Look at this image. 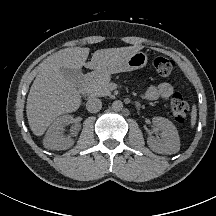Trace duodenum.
<instances>
[{"mask_svg": "<svg viewBox=\"0 0 216 216\" xmlns=\"http://www.w3.org/2000/svg\"><path fill=\"white\" fill-rule=\"evenodd\" d=\"M92 78H93V75H87L85 77L84 83L79 90L81 95H84L87 92L88 84L91 82Z\"/></svg>", "mask_w": 216, "mask_h": 216, "instance_id": "obj_1", "label": "duodenum"}]
</instances>
